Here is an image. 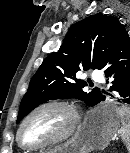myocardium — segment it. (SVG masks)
<instances>
[{
  "instance_id": "1",
  "label": "myocardium",
  "mask_w": 130,
  "mask_h": 153,
  "mask_svg": "<svg viewBox=\"0 0 130 153\" xmlns=\"http://www.w3.org/2000/svg\"><path fill=\"white\" fill-rule=\"evenodd\" d=\"M49 107H59L62 108L64 110H66L70 116V122L68 127L66 128V130L58 137L38 144V145H27L25 143L22 142L21 140V134H22V130L25 126V124L27 123V121L34 115L36 114L38 111L45 109V108H49ZM80 113L78 111L77 106L68 101V100H62V99H54V100H49L46 102H43L39 105H37L36 107H34L30 112L27 113V115L23 118V120L21 121L18 131H17V141L19 143V145L26 150H40V149H44L59 143H62L66 140H68L76 131L79 123H80Z\"/></svg>"
}]
</instances>
